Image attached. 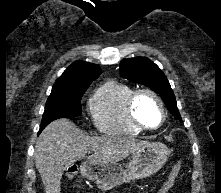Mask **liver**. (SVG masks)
Masks as SVG:
<instances>
[{"label": "liver", "instance_id": "liver-1", "mask_svg": "<svg viewBox=\"0 0 221 193\" xmlns=\"http://www.w3.org/2000/svg\"><path fill=\"white\" fill-rule=\"evenodd\" d=\"M147 144L131 136L90 137L72 121L59 119L42 131L35 146V165L45 192L60 193L63 172L74 162L88 158L97 165L115 164Z\"/></svg>", "mask_w": 221, "mask_h": 193}]
</instances>
